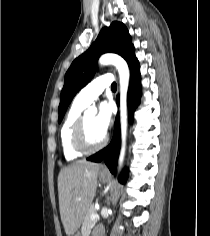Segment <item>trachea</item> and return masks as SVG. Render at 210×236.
Listing matches in <instances>:
<instances>
[{
	"instance_id": "1",
	"label": "trachea",
	"mask_w": 210,
	"mask_h": 236,
	"mask_svg": "<svg viewBox=\"0 0 210 236\" xmlns=\"http://www.w3.org/2000/svg\"><path fill=\"white\" fill-rule=\"evenodd\" d=\"M111 89H112L113 91H115V90L117 89V85H116L115 82L111 85Z\"/></svg>"
}]
</instances>
